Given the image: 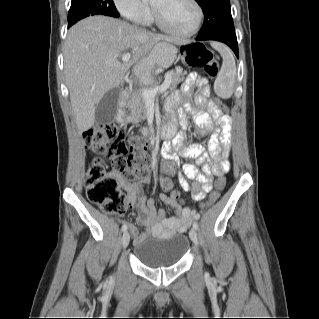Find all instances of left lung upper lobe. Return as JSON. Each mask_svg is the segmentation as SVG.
<instances>
[{"mask_svg":"<svg viewBox=\"0 0 319 319\" xmlns=\"http://www.w3.org/2000/svg\"><path fill=\"white\" fill-rule=\"evenodd\" d=\"M204 12V23L197 40L236 39L230 0H195Z\"/></svg>","mask_w":319,"mask_h":319,"instance_id":"obj_1","label":"left lung upper lobe"}]
</instances>
